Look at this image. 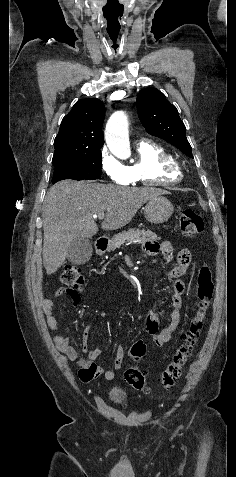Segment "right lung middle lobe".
I'll return each instance as SVG.
<instances>
[{"label": "right lung middle lobe", "mask_w": 236, "mask_h": 477, "mask_svg": "<svg viewBox=\"0 0 236 477\" xmlns=\"http://www.w3.org/2000/svg\"><path fill=\"white\" fill-rule=\"evenodd\" d=\"M55 167L52 183L64 179L93 180L100 179L101 151L80 153L76 156L52 161Z\"/></svg>", "instance_id": "obj_1"}]
</instances>
